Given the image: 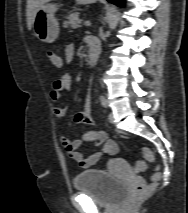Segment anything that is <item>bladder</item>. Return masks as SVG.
<instances>
[{
    "label": "bladder",
    "instance_id": "1",
    "mask_svg": "<svg viewBox=\"0 0 188 213\" xmlns=\"http://www.w3.org/2000/svg\"><path fill=\"white\" fill-rule=\"evenodd\" d=\"M77 191L88 195L102 206H115L126 195L127 184L113 178L106 170L88 169L76 174L73 180Z\"/></svg>",
    "mask_w": 188,
    "mask_h": 213
}]
</instances>
